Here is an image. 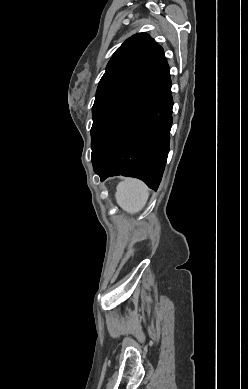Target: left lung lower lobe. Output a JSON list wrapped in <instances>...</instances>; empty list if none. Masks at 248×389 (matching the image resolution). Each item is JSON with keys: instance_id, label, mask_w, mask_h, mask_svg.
Here are the masks:
<instances>
[{"instance_id": "obj_1", "label": "left lung lower lobe", "mask_w": 248, "mask_h": 389, "mask_svg": "<svg viewBox=\"0 0 248 389\" xmlns=\"http://www.w3.org/2000/svg\"><path fill=\"white\" fill-rule=\"evenodd\" d=\"M173 99L164 53L95 119L104 144L92 152L101 181L124 175L157 190L169 152Z\"/></svg>"}]
</instances>
